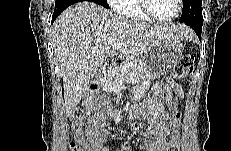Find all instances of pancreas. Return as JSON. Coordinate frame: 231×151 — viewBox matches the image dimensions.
Returning <instances> with one entry per match:
<instances>
[{
	"instance_id": "obj_1",
	"label": "pancreas",
	"mask_w": 231,
	"mask_h": 151,
	"mask_svg": "<svg viewBox=\"0 0 231 151\" xmlns=\"http://www.w3.org/2000/svg\"><path fill=\"white\" fill-rule=\"evenodd\" d=\"M130 65V67L120 72V68L110 71L103 81V88L106 92H119L125 83L137 82L143 78L145 71L142 64L138 60H127L123 65Z\"/></svg>"
}]
</instances>
